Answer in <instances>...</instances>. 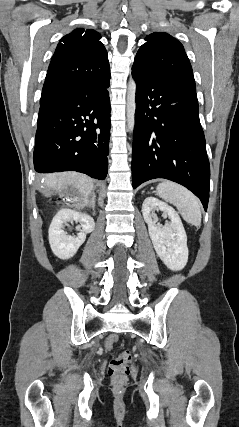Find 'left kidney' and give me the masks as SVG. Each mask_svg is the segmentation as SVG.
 Returning <instances> with one entry per match:
<instances>
[{
	"label": "left kidney",
	"instance_id": "obj_1",
	"mask_svg": "<svg viewBox=\"0 0 239 427\" xmlns=\"http://www.w3.org/2000/svg\"><path fill=\"white\" fill-rule=\"evenodd\" d=\"M155 210L167 214L171 220L170 224L157 226L152 219ZM142 214L148 224L149 236L159 258L169 269L182 270L188 261V247L187 235L178 213L166 203L148 197L143 202Z\"/></svg>",
	"mask_w": 239,
	"mask_h": 427
}]
</instances>
